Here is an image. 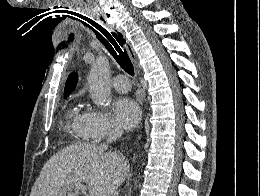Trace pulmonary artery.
Masks as SVG:
<instances>
[{
  "mask_svg": "<svg viewBox=\"0 0 260 196\" xmlns=\"http://www.w3.org/2000/svg\"><path fill=\"white\" fill-rule=\"evenodd\" d=\"M109 84H119L115 86V89L119 92H127L129 88H127L129 84L128 76H115V79H109Z\"/></svg>",
  "mask_w": 260,
  "mask_h": 196,
  "instance_id": "1",
  "label": "pulmonary artery"
}]
</instances>
